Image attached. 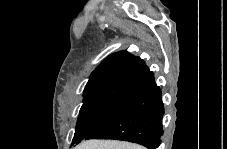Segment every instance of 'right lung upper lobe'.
I'll return each instance as SVG.
<instances>
[{"label": "right lung upper lobe", "mask_w": 227, "mask_h": 149, "mask_svg": "<svg viewBox=\"0 0 227 149\" xmlns=\"http://www.w3.org/2000/svg\"><path fill=\"white\" fill-rule=\"evenodd\" d=\"M154 78L145 62L127 51L109 55L92 72L84 96L101 88L120 85L138 89Z\"/></svg>", "instance_id": "1"}]
</instances>
